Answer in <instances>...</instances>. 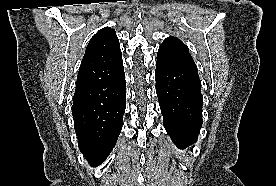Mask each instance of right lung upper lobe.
<instances>
[{"instance_id": "obj_1", "label": "right lung upper lobe", "mask_w": 276, "mask_h": 186, "mask_svg": "<svg viewBox=\"0 0 276 186\" xmlns=\"http://www.w3.org/2000/svg\"><path fill=\"white\" fill-rule=\"evenodd\" d=\"M124 74L122 53L116 32L110 27L99 30L87 45L76 88L109 83Z\"/></svg>"}]
</instances>
